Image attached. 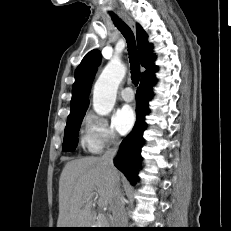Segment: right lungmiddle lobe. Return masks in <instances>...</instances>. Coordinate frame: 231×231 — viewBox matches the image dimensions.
Listing matches in <instances>:
<instances>
[{"mask_svg": "<svg viewBox=\"0 0 231 231\" xmlns=\"http://www.w3.org/2000/svg\"><path fill=\"white\" fill-rule=\"evenodd\" d=\"M85 112L68 116L63 140L64 151H74L78 143V132Z\"/></svg>", "mask_w": 231, "mask_h": 231, "instance_id": "dd1d6c3e", "label": "right lung middle lobe"}]
</instances>
